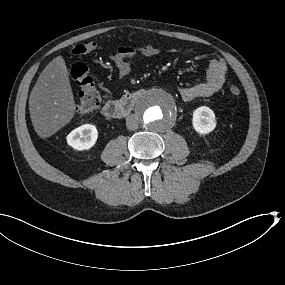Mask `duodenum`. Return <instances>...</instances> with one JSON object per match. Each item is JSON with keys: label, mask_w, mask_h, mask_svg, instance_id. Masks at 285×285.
I'll return each mask as SVG.
<instances>
[{"label": "duodenum", "mask_w": 285, "mask_h": 285, "mask_svg": "<svg viewBox=\"0 0 285 285\" xmlns=\"http://www.w3.org/2000/svg\"><path fill=\"white\" fill-rule=\"evenodd\" d=\"M140 96L141 91H135L118 100L107 101L102 108V114L109 119L125 118L131 114Z\"/></svg>", "instance_id": "obj_1"}]
</instances>
